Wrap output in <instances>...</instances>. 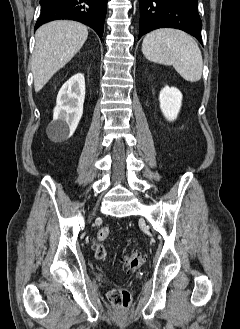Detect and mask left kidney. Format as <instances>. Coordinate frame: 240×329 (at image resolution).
<instances>
[{"mask_svg": "<svg viewBox=\"0 0 240 329\" xmlns=\"http://www.w3.org/2000/svg\"><path fill=\"white\" fill-rule=\"evenodd\" d=\"M160 109L168 121L177 118L182 105V93L175 87L165 86L159 95Z\"/></svg>", "mask_w": 240, "mask_h": 329, "instance_id": "left-kidney-1", "label": "left kidney"}]
</instances>
